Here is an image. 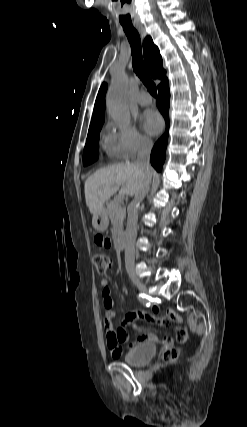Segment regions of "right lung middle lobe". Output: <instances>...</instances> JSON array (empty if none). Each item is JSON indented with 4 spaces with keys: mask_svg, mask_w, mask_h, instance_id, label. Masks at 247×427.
Wrapping results in <instances>:
<instances>
[{
    "mask_svg": "<svg viewBox=\"0 0 247 427\" xmlns=\"http://www.w3.org/2000/svg\"><path fill=\"white\" fill-rule=\"evenodd\" d=\"M102 128V124L94 128L89 129L87 135L86 145L83 151V162L84 165H88L97 160L99 150V132Z\"/></svg>",
    "mask_w": 247,
    "mask_h": 427,
    "instance_id": "right-lung-middle-lobe-1",
    "label": "right lung middle lobe"
}]
</instances>
